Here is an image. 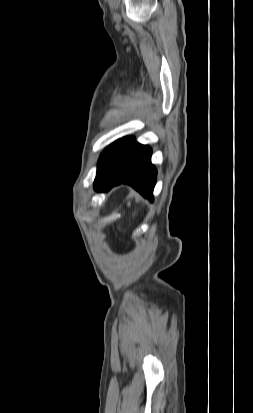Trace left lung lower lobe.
Returning a JSON list of instances; mask_svg holds the SVG:
<instances>
[{
	"mask_svg": "<svg viewBox=\"0 0 253 413\" xmlns=\"http://www.w3.org/2000/svg\"><path fill=\"white\" fill-rule=\"evenodd\" d=\"M151 154L149 146L139 144L133 137L120 139L112 154L97 170L95 190L107 191L126 183L152 201L157 172L151 163Z\"/></svg>",
	"mask_w": 253,
	"mask_h": 413,
	"instance_id": "left-lung-lower-lobe-1",
	"label": "left lung lower lobe"
}]
</instances>
